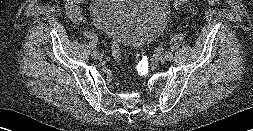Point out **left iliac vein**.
I'll list each match as a JSON object with an SVG mask.
<instances>
[{"instance_id":"left-iliac-vein-1","label":"left iliac vein","mask_w":253,"mask_h":131,"mask_svg":"<svg viewBox=\"0 0 253 131\" xmlns=\"http://www.w3.org/2000/svg\"><path fill=\"white\" fill-rule=\"evenodd\" d=\"M155 57L158 61L165 62L170 60L173 57V54L171 52H157Z\"/></svg>"}]
</instances>
